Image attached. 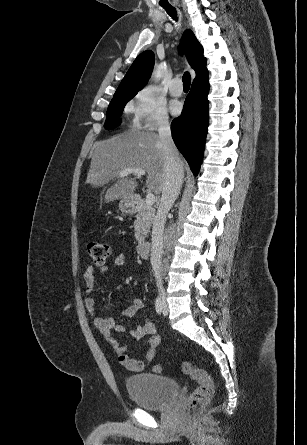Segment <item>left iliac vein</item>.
Returning <instances> with one entry per match:
<instances>
[{
    "label": "left iliac vein",
    "instance_id": "left-iliac-vein-1",
    "mask_svg": "<svg viewBox=\"0 0 307 445\" xmlns=\"http://www.w3.org/2000/svg\"><path fill=\"white\" fill-rule=\"evenodd\" d=\"M162 312H163V315H167L168 314V306H167V303H166V301L163 299V310H162Z\"/></svg>",
    "mask_w": 307,
    "mask_h": 445
}]
</instances>
